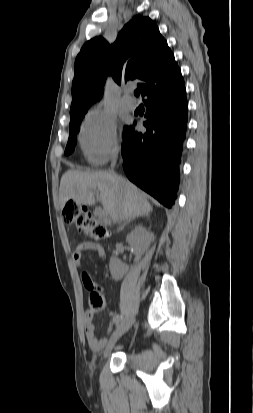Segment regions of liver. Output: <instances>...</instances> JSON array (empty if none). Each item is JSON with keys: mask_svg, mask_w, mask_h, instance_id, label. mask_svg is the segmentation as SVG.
Wrapping results in <instances>:
<instances>
[{"mask_svg": "<svg viewBox=\"0 0 253 413\" xmlns=\"http://www.w3.org/2000/svg\"><path fill=\"white\" fill-rule=\"evenodd\" d=\"M95 189L100 191L103 208L110 216L121 205L120 220L148 215L153 210L146 194L129 180L118 177L116 185L110 173L80 170H69L63 174L59 188L60 208L71 199L78 204H94Z\"/></svg>", "mask_w": 253, "mask_h": 413, "instance_id": "liver-1", "label": "liver"}]
</instances>
